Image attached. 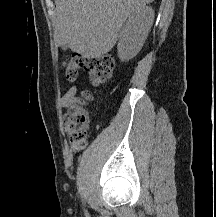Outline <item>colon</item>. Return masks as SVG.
Instances as JSON below:
<instances>
[{
	"label": "colon",
	"instance_id": "1",
	"mask_svg": "<svg viewBox=\"0 0 216 217\" xmlns=\"http://www.w3.org/2000/svg\"><path fill=\"white\" fill-rule=\"evenodd\" d=\"M85 66L84 59L78 55H71L63 62L66 77L69 81H75L79 70ZM90 79L93 85L99 86L106 83L113 75L114 61L110 56L95 58L87 64ZM92 95L89 91H83L80 97H76V103L69 111L64 124V129L69 136L73 151L78 152L85 147L87 131L90 126V114L84 106Z\"/></svg>",
	"mask_w": 216,
	"mask_h": 217
}]
</instances>
